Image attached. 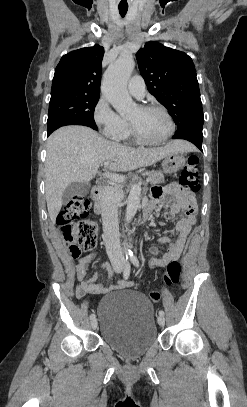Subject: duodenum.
I'll return each instance as SVG.
<instances>
[{"label":"duodenum","instance_id":"obj_1","mask_svg":"<svg viewBox=\"0 0 247 407\" xmlns=\"http://www.w3.org/2000/svg\"><path fill=\"white\" fill-rule=\"evenodd\" d=\"M105 187V181L104 180H97L92 189V199H93V209L94 212L100 216L102 219L105 218L106 216V211L107 207L104 204L103 200L101 199V194L103 192V189ZM152 209V205L148 202H145L143 208H142V213L140 217V221L144 222L147 220V218L150 215Z\"/></svg>","mask_w":247,"mask_h":407}]
</instances>
